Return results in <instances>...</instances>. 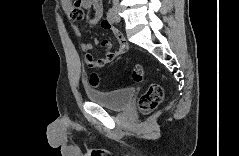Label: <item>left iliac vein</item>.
<instances>
[{
  "label": "left iliac vein",
  "instance_id": "obj_1",
  "mask_svg": "<svg viewBox=\"0 0 239 156\" xmlns=\"http://www.w3.org/2000/svg\"><path fill=\"white\" fill-rule=\"evenodd\" d=\"M116 21H117V22L120 21V17L117 15V13H116Z\"/></svg>",
  "mask_w": 239,
  "mask_h": 156
}]
</instances>
